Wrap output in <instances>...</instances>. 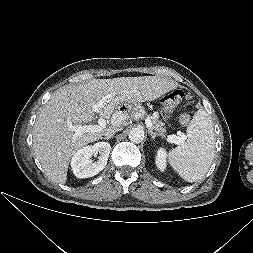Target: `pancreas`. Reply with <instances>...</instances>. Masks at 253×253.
<instances>
[{"label":"pancreas","instance_id":"cf45deb5","mask_svg":"<svg viewBox=\"0 0 253 253\" xmlns=\"http://www.w3.org/2000/svg\"><path fill=\"white\" fill-rule=\"evenodd\" d=\"M152 126L151 129L156 132L157 135L164 137L166 133L165 123L158 120L156 117L151 116Z\"/></svg>","mask_w":253,"mask_h":253}]
</instances>
